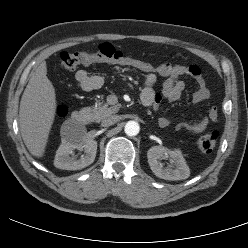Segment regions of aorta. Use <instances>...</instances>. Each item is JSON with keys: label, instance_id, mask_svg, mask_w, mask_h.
<instances>
[{"label": "aorta", "instance_id": "1", "mask_svg": "<svg viewBox=\"0 0 248 248\" xmlns=\"http://www.w3.org/2000/svg\"><path fill=\"white\" fill-rule=\"evenodd\" d=\"M124 131L128 136H136L140 131V126L136 121H128L125 125Z\"/></svg>", "mask_w": 248, "mask_h": 248}]
</instances>
